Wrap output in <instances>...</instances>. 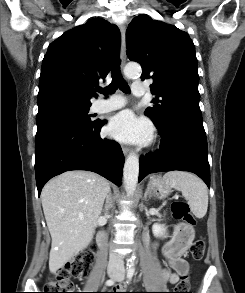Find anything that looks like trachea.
I'll use <instances>...</instances> for the list:
<instances>
[{
	"label": "trachea",
	"instance_id": "obj_1",
	"mask_svg": "<svg viewBox=\"0 0 245 293\" xmlns=\"http://www.w3.org/2000/svg\"><path fill=\"white\" fill-rule=\"evenodd\" d=\"M120 89L124 93H128L130 88L127 82L123 79L121 72H120V61L117 60L113 69H112V81L109 86L105 88L107 93L113 94L116 92L117 89ZM96 91L103 93V90L98 88Z\"/></svg>",
	"mask_w": 245,
	"mask_h": 293
}]
</instances>
